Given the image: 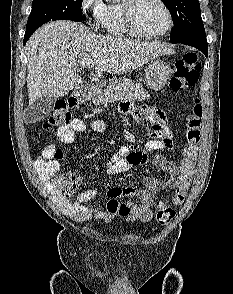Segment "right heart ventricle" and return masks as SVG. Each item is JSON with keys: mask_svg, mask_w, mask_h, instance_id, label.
I'll return each instance as SVG.
<instances>
[{"mask_svg": "<svg viewBox=\"0 0 233 294\" xmlns=\"http://www.w3.org/2000/svg\"><path fill=\"white\" fill-rule=\"evenodd\" d=\"M124 3L125 0H122L119 3L106 5L100 26L112 36L133 37L125 22Z\"/></svg>", "mask_w": 233, "mask_h": 294, "instance_id": "e07e8e85", "label": "right heart ventricle"}]
</instances>
